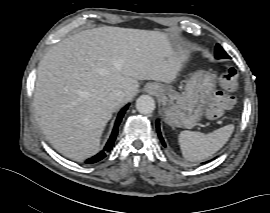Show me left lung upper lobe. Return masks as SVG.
Segmentation results:
<instances>
[{
	"label": "left lung upper lobe",
	"mask_w": 270,
	"mask_h": 213,
	"mask_svg": "<svg viewBox=\"0 0 270 213\" xmlns=\"http://www.w3.org/2000/svg\"><path fill=\"white\" fill-rule=\"evenodd\" d=\"M215 57L217 59H226V58H230L228 56V54L223 50V48L217 44L216 48H215Z\"/></svg>",
	"instance_id": "1"
}]
</instances>
